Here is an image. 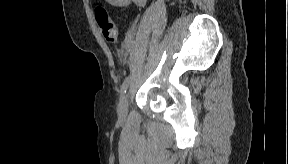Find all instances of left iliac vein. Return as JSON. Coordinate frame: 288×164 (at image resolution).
Wrapping results in <instances>:
<instances>
[{"instance_id": "1", "label": "left iliac vein", "mask_w": 288, "mask_h": 164, "mask_svg": "<svg viewBox=\"0 0 288 164\" xmlns=\"http://www.w3.org/2000/svg\"><path fill=\"white\" fill-rule=\"evenodd\" d=\"M128 114V95H123L121 97L119 106H118V118L123 120L127 117Z\"/></svg>"}]
</instances>
